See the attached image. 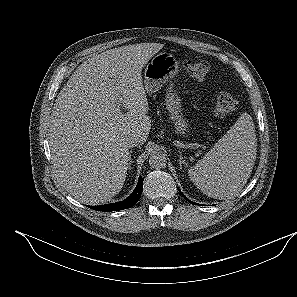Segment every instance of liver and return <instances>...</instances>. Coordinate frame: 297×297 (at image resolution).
<instances>
[{
    "label": "liver",
    "instance_id": "6515ba94",
    "mask_svg": "<svg viewBox=\"0 0 297 297\" xmlns=\"http://www.w3.org/2000/svg\"><path fill=\"white\" fill-rule=\"evenodd\" d=\"M163 46L140 43L95 55L58 94L49 121L51 157L60 184L79 202L98 205L121 191L129 166L125 139L135 134L144 144L151 129L141 71Z\"/></svg>",
    "mask_w": 297,
    "mask_h": 297
}]
</instances>
